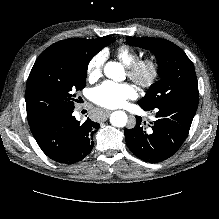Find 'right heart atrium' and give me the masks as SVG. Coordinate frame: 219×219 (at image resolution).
<instances>
[{
  "label": "right heart atrium",
  "instance_id": "d8ad5b80",
  "mask_svg": "<svg viewBox=\"0 0 219 219\" xmlns=\"http://www.w3.org/2000/svg\"><path fill=\"white\" fill-rule=\"evenodd\" d=\"M105 56L103 53L96 54L87 66V76L90 81L99 79L102 75Z\"/></svg>",
  "mask_w": 219,
  "mask_h": 219
}]
</instances>
